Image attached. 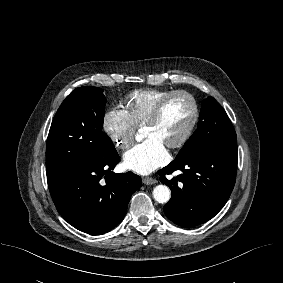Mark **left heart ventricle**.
<instances>
[{"mask_svg": "<svg viewBox=\"0 0 283 283\" xmlns=\"http://www.w3.org/2000/svg\"><path fill=\"white\" fill-rule=\"evenodd\" d=\"M191 102L182 96L173 98L164 108L159 121L143 127V137L155 138L164 145L177 141L187 129L192 118Z\"/></svg>", "mask_w": 283, "mask_h": 283, "instance_id": "obj_1", "label": "left heart ventricle"}]
</instances>
